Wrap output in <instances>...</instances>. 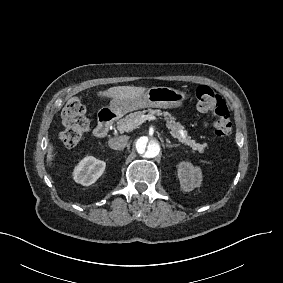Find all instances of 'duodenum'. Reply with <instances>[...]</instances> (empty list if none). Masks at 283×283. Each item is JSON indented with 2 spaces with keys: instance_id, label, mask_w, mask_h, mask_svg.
Segmentation results:
<instances>
[{
  "instance_id": "duodenum-1",
  "label": "duodenum",
  "mask_w": 283,
  "mask_h": 283,
  "mask_svg": "<svg viewBox=\"0 0 283 283\" xmlns=\"http://www.w3.org/2000/svg\"><path fill=\"white\" fill-rule=\"evenodd\" d=\"M115 120V115L112 112H105L100 115L99 122L94 129V135L97 138H104L108 135Z\"/></svg>"
}]
</instances>
